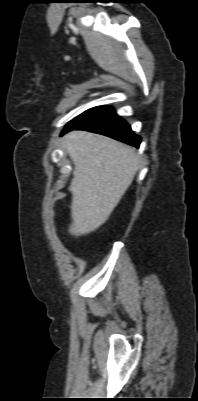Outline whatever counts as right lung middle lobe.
<instances>
[{"label": "right lung middle lobe", "instance_id": "1", "mask_svg": "<svg viewBox=\"0 0 198 401\" xmlns=\"http://www.w3.org/2000/svg\"><path fill=\"white\" fill-rule=\"evenodd\" d=\"M100 107H94L91 108L87 111H85L84 113H82L81 115L77 116L76 118H74L72 121H70L66 126H65V130L70 129L78 124H80L81 122L85 121L88 117H90L92 114H94ZM63 131V132H64Z\"/></svg>", "mask_w": 198, "mask_h": 401}]
</instances>
